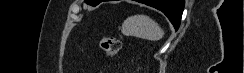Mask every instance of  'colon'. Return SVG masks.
<instances>
[{"mask_svg": "<svg viewBox=\"0 0 244 73\" xmlns=\"http://www.w3.org/2000/svg\"><path fill=\"white\" fill-rule=\"evenodd\" d=\"M99 44L101 50L110 56L116 55L121 48L120 40L114 36L102 37Z\"/></svg>", "mask_w": 244, "mask_h": 73, "instance_id": "colon-1", "label": "colon"}]
</instances>
